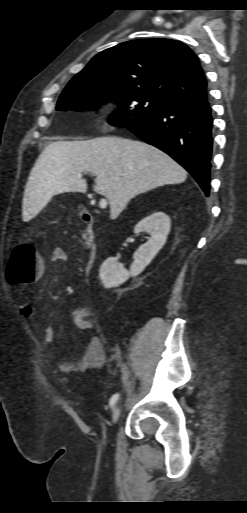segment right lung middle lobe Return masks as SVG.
<instances>
[{
  "label": "right lung middle lobe",
  "mask_w": 247,
  "mask_h": 513,
  "mask_svg": "<svg viewBox=\"0 0 247 513\" xmlns=\"http://www.w3.org/2000/svg\"><path fill=\"white\" fill-rule=\"evenodd\" d=\"M109 99L119 105V110L109 123L117 127H129L141 123L161 111L167 102L138 94L124 87H110L98 83L70 81L61 93L58 110L83 109L94 106L98 100Z\"/></svg>",
  "instance_id": "dd1d6c3e"
}]
</instances>
